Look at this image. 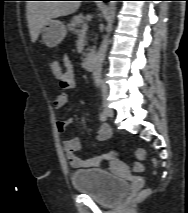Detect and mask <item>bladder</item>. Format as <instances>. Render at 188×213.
Instances as JSON below:
<instances>
[{
  "mask_svg": "<svg viewBox=\"0 0 188 213\" xmlns=\"http://www.w3.org/2000/svg\"><path fill=\"white\" fill-rule=\"evenodd\" d=\"M71 182L76 190L84 192L103 205L114 204L128 190L126 180L96 168L74 171Z\"/></svg>",
  "mask_w": 188,
  "mask_h": 213,
  "instance_id": "1",
  "label": "bladder"
}]
</instances>
